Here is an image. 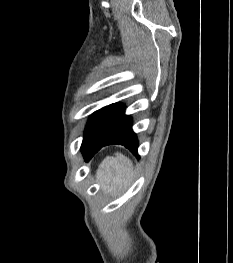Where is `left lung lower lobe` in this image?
I'll return each instance as SVG.
<instances>
[{
    "label": "left lung lower lobe",
    "instance_id": "left-lung-lower-lobe-1",
    "mask_svg": "<svg viewBox=\"0 0 233 263\" xmlns=\"http://www.w3.org/2000/svg\"><path fill=\"white\" fill-rule=\"evenodd\" d=\"M125 107L120 104L109 105L100 116L93 134L82 153L86 161L90 160L102 147L120 144L136 154L138 140L131 129L132 118L124 114Z\"/></svg>",
    "mask_w": 233,
    "mask_h": 263
}]
</instances>
